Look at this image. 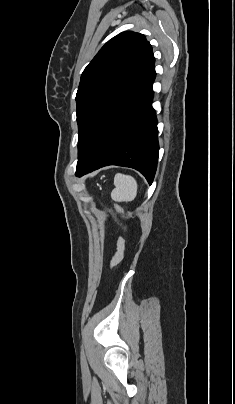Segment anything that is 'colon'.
Masks as SVG:
<instances>
[{
  "mask_svg": "<svg viewBox=\"0 0 235 404\" xmlns=\"http://www.w3.org/2000/svg\"><path fill=\"white\" fill-rule=\"evenodd\" d=\"M116 208H117V210H118L119 212H122V208H121L120 206H116ZM125 228H126V230L128 231V227L125 226Z\"/></svg>",
  "mask_w": 235,
  "mask_h": 404,
  "instance_id": "5ec220e1",
  "label": "colon"
}]
</instances>
